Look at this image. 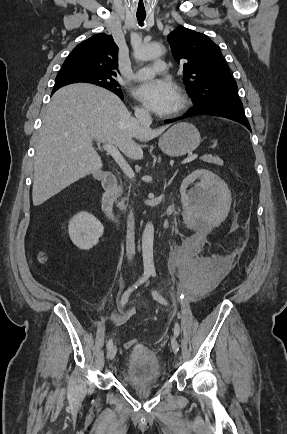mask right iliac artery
<instances>
[{
    "label": "right iliac artery",
    "instance_id": "82829eb1",
    "mask_svg": "<svg viewBox=\"0 0 287 434\" xmlns=\"http://www.w3.org/2000/svg\"><path fill=\"white\" fill-rule=\"evenodd\" d=\"M150 277V273L145 272L143 276L131 287H129L121 298V306L124 307L130 294L135 290L139 285L143 284ZM113 345L112 339L107 342V348L109 349Z\"/></svg>",
    "mask_w": 287,
    "mask_h": 434
}]
</instances>
